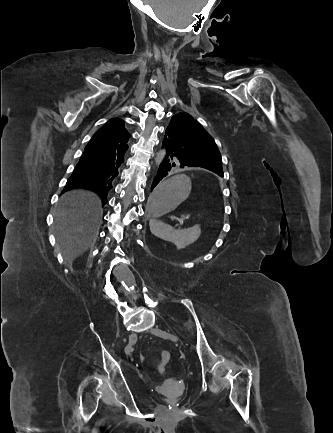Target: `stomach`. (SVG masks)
<instances>
[{
  "instance_id": "0dacf381",
  "label": "stomach",
  "mask_w": 333,
  "mask_h": 433,
  "mask_svg": "<svg viewBox=\"0 0 333 433\" xmlns=\"http://www.w3.org/2000/svg\"><path fill=\"white\" fill-rule=\"evenodd\" d=\"M190 189V179L183 174L163 176L162 183H154L149 201H146L145 213L149 220H162L163 215H172L180 202L191 199Z\"/></svg>"
}]
</instances>
